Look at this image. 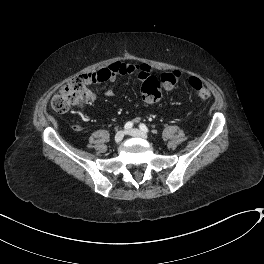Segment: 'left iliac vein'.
I'll return each mask as SVG.
<instances>
[{
	"mask_svg": "<svg viewBox=\"0 0 264 264\" xmlns=\"http://www.w3.org/2000/svg\"><path fill=\"white\" fill-rule=\"evenodd\" d=\"M127 134H129L133 137H138V138H142V139L148 138V135L139 129H130L127 131Z\"/></svg>",
	"mask_w": 264,
	"mask_h": 264,
	"instance_id": "left-iliac-vein-1",
	"label": "left iliac vein"
}]
</instances>
